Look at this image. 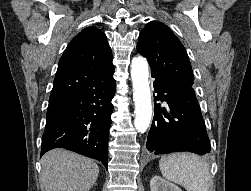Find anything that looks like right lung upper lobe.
I'll list each match as a JSON object with an SVG mask.
<instances>
[{
  "instance_id": "right-lung-upper-lobe-1",
  "label": "right lung upper lobe",
  "mask_w": 251,
  "mask_h": 191,
  "mask_svg": "<svg viewBox=\"0 0 251 191\" xmlns=\"http://www.w3.org/2000/svg\"><path fill=\"white\" fill-rule=\"evenodd\" d=\"M112 52L103 32L87 27L65 49L58 65L49 105L77 94L113 77Z\"/></svg>"
}]
</instances>
